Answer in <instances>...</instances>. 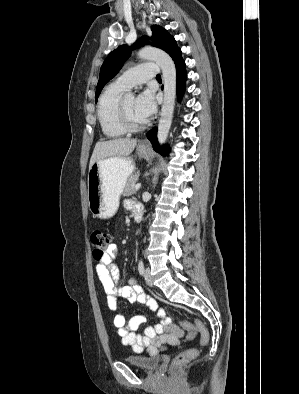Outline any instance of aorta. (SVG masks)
<instances>
[{
  "instance_id": "1",
  "label": "aorta",
  "mask_w": 299,
  "mask_h": 394,
  "mask_svg": "<svg viewBox=\"0 0 299 394\" xmlns=\"http://www.w3.org/2000/svg\"><path fill=\"white\" fill-rule=\"evenodd\" d=\"M138 57L143 60L155 61L162 70L164 98L160 112L157 138L160 145H163L168 136L173 118L176 98V67L172 58L158 48L145 47L138 52ZM157 173L158 169H155V174ZM156 181L157 177H154L153 183L156 184Z\"/></svg>"
}]
</instances>
